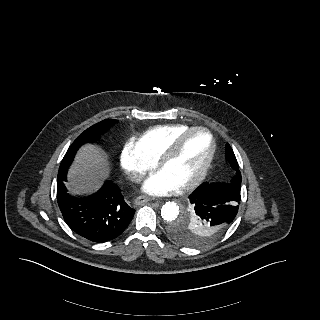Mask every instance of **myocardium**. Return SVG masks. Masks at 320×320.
Returning a JSON list of instances; mask_svg holds the SVG:
<instances>
[{
    "instance_id": "f54148a6",
    "label": "myocardium",
    "mask_w": 320,
    "mask_h": 320,
    "mask_svg": "<svg viewBox=\"0 0 320 320\" xmlns=\"http://www.w3.org/2000/svg\"><path fill=\"white\" fill-rule=\"evenodd\" d=\"M197 133H204L208 136L209 138V151L208 155L206 157V160L204 161L201 169L199 172L191 178L189 181L183 183L178 187L180 191H187L190 189L195 188L198 186L206 177L214 156L216 152V142L215 139L212 135V133L204 128V127H191L188 130L182 132L179 134L171 143L170 145L166 148V150L161 154V156L157 160V168L161 170L169 161H171L180 151L184 141L189 138L190 136L197 134Z\"/></svg>"
}]
</instances>
